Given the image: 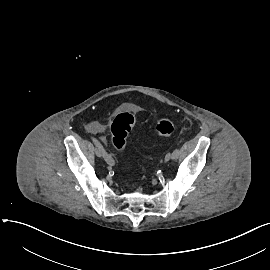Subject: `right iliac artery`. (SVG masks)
<instances>
[{"label": "right iliac artery", "mask_w": 270, "mask_h": 270, "mask_svg": "<svg viewBox=\"0 0 270 270\" xmlns=\"http://www.w3.org/2000/svg\"><path fill=\"white\" fill-rule=\"evenodd\" d=\"M91 140L95 144V146L101 151L102 156L104 160L109 164V165H114V159L106 152L102 144L94 137H91Z\"/></svg>", "instance_id": "82829eb1"}]
</instances>
